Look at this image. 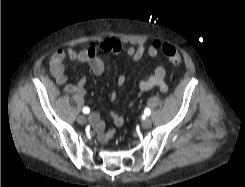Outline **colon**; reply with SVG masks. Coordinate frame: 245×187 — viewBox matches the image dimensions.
Here are the masks:
<instances>
[{"mask_svg": "<svg viewBox=\"0 0 245 187\" xmlns=\"http://www.w3.org/2000/svg\"><path fill=\"white\" fill-rule=\"evenodd\" d=\"M161 51L174 68L181 66L182 56L172 45L168 43L162 44Z\"/></svg>", "mask_w": 245, "mask_h": 187, "instance_id": "obj_1", "label": "colon"}]
</instances>
